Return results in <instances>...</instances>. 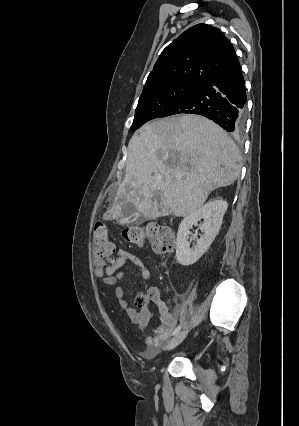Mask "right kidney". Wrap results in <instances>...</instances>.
<instances>
[{
    "instance_id": "right-kidney-1",
    "label": "right kidney",
    "mask_w": 299,
    "mask_h": 426,
    "mask_svg": "<svg viewBox=\"0 0 299 426\" xmlns=\"http://www.w3.org/2000/svg\"><path fill=\"white\" fill-rule=\"evenodd\" d=\"M228 208L226 201L214 199L204 204L196 211L186 216L182 221L177 233L176 259L183 266L192 265L207 251L213 240L219 233L223 216ZM204 219L200 229L204 232L196 245L190 248L188 241L193 225Z\"/></svg>"
}]
</instances>
